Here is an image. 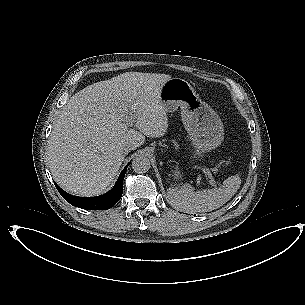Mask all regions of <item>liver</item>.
<instances>
[{"mask_svg": "<svg viewBox=\"0 0 305 305\" xmlns=\"http://www.w3.org/2000/svg\"><path fill=\"white\" fill-rule=\"evenodd\" d=\"M159 75L154 88L114 77L85 87L63 107L48 141L54 180L79 196L103 193L115 179L125 153L123 145L141 146L145 136L165 134L168 117L161 108ZM135 126V129L130 127Z\"/></svg>", "mask_w": 305, "mask_h": 305, "instance_id": "6515ba94", "label": "liver"}]
</instances>
